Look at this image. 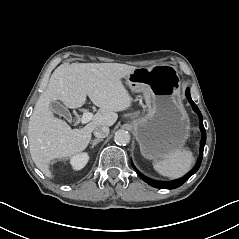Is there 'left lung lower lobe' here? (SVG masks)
<instances>
[{
	"instance_id": "left-lung-lower-lobe-1",
	"label": "left lung lower lobe",
	"mask_w": 239,
	"mask_h": 239,
	"mask_svg": "<svg viewBox=\"0 0 239 239\" xmlns=\"http://www.w3.org/2000/svg\"><path fill=\"white\" fill-rule=\"evenodd\" d=\"M186 97L188 99V101L190 102V104L192 105L193 110L197 113L198 117H199V126H200V130L202 133V140H201V144H200V156L198 159V162L196 164V166L188 173L186 174L184 177L175 180V181H171V182H159V181H155L152 179H149L147 177H145L144 175H142L132 164L133 168L135 169V171L137 172V174L140 176V178L142 180H144L146 183H148L149 185L155 187V188H159V189H175L177 187H180L184 182H186L195 172H197V170L199 169L200 165H201V161H202V157H203V150H204V145L206 143V131L205 128L203 126V118H202V114L200 112V110L198 109V107L196 106V104L192 101L191 96H190V89L187 88L186 90Z\"/></svg>"
}]
</instances>
